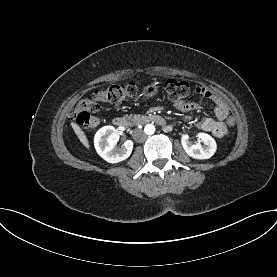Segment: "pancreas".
I'll return each instance as SVG.
<instances>
[{"label":"pancreas","mask_w":277,"mask_h":277,"mask_svg":"<svg viewBox=\"0 0 277 277\" xmlns=\"http://www.w3.org/2000/svg\"><path fill=\"white\" fill-rule=\"evenodd\" d=\"M129 120H135L136 118H137V116H134V117H132V116H126Z\"/></svg>","instance_id":"pancreas-1"}]
</instances>
